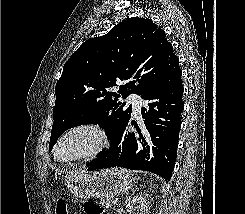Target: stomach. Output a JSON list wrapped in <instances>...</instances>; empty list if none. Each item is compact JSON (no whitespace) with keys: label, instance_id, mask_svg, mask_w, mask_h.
I'll list each match as a JSON object with an SVG mask.
<instances>
[{"label":"stomach","instance_id":"stomach-1","mask_svg":"<svg viewBox=\"0 0 245 214\" xmlns=\"http://www.w3.org/2000/svg\"><path fill=\"white\" fill-rule=\"evenodd\" d=\"M132 173L122 168H109L85 173L77 171L67 179L68 191L79 199L112 198L126 193L134 184Z\"/></svg>","mask_w":245,"mask_h":214}]
</instances>
